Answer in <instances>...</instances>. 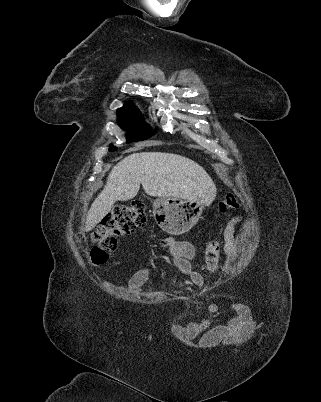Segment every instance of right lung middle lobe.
Returning a JSON list of instances; mask_svg holds the SVG:
<instances>
[{
  "label": "right lung middle lobe",
  "instance_id": "right-lung-middle-lobe-1",
  "mask_svg": "<svg viewBox=\"0 0 321 402\" xmlns=\"http://www.w3.org/2000/svg\"><path fill=\"white\" fill-rule=\"evenodd\" d=\"M118 125L126 130L127 143L145 140L151 136V132L145 129L141 124L143 122L142 115L136 107L124 106L117 110ZM116 150L111 147L110 151Z\"/></svg>",
  "mask_w": 321,
  "mask_h": 402
}]
</instances>
